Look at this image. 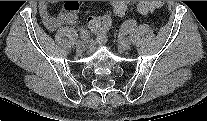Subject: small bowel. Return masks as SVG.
<instances>
[{
    "mask_svg": "<svg viewBox=\"0 0 207 121\" xmlns=\"http://www.w3.org/2000/svg\"><path fill=\"white\" fill-rule=\"evenodd\" d=\"M49 4V1L39 3L42 23L49 31H55L62 26H73L77 23V11L79 9L77 1H66L63 9L56 16L51 14Z\"/></svg>",
    "mask_w": 207,
    "mask_h": 121,
    "instance_id": "c3829d8e",
    "label": "small bowel"
}]
</instances>
